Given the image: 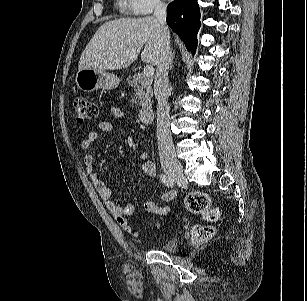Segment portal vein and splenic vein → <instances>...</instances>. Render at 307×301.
I'll use <instances>...</instances> for the list:
<instances>
[{"label":"portal vein and splenic vein","mask_w":307,"mask_h":301,"mask_svg":"<svg viewBox=\"0 0 307 301\" xmlns=\"http://www.w3.org/2000/svg\"><path fill=\"white\" fill-rule=\"evenodd\" d=\"M143 73L146 77H150L154 74V68L152 65L148 64L144 67Z\"/></svg>","instance_id":"1"}]
</instances>
